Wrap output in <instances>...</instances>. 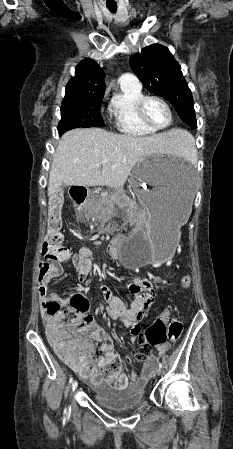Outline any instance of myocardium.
<instances>
[{
  "label": "myocardium",
  "mask_w": 233,
  "mask_h": 449,
  "mask_svg": "<svg viewBox=\"0 0 233 449\" xmlns=\"http://www.w3.org/2000/svg\"><path fill=\"white\" fill-rule=\"evenodd\" d=\"M150 100H156L159 101L161 104L164 105V107L167 109L168 114H169V121L166 125L162 126V127H157L154 126L153 124L150 123V121L147 119L146 115H145V106L146 103ZM136 112H137V116L139 121L148 129L152 130V131H161L164 130L166 128H168L172 122H173V112L172 109L169 105V103L162 97L157 96V95H144L138 102L137 107H136Z\"/></svg>",
  "instance_id": "myocardium-1"
}]
</instances>
